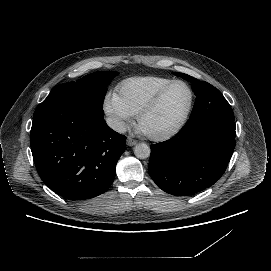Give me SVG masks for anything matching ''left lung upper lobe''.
Instances as JSON below:
<instances>
[{
    "label": "left lung upper lobe",
    "instance_id": "left-lung-upper-lobe-1",
    "mask_svg": "<svg viewBox=\"0 0 271 271\" xmlns=\"http://www.w3.org/2000/svg\"><path fill=\"white\" fill-rule=\"evenodd\" d=\"M176 76L191 82L196 95L190 119L204 115L234 116L226 99L214 86L184 73H176Z\"/></svg>",
    "mask_w": 271,
    "mask_h": 271
}]
</instances>
